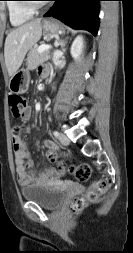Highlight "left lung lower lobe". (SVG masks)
<instances>
[{
  "label": "left lung lower lobe",
  "mask_w": 133,
  "mask_h": 253,
  "mask_svg": "<svg viewBox=\"0 0 133 253\" xmlns=\"http://www.w3.org/2000/svg\"><path fill=\"white\" fill-rule=\"evenodd\" d=\"M55 3L45 17L52 16L75 29H85L96 36L99 25V6L102 0H53Z\"/></svg>",
  "instance_id": "left-lung-lower-lobe-1"
}]
</instances>
